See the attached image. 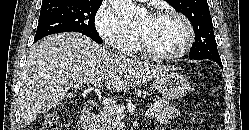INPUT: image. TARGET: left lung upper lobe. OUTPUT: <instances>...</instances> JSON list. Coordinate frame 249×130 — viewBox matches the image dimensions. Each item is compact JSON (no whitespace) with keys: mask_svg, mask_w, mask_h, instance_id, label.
<instances>
[{"mask_svg":"<svg viewBox=\"0 0 249 130\" xmlns=\"http://www.w3.org/2000/svg\"><path fill=\"white\" fill-rule=\"evenodd\" d=\"M177 11L192 23L195 43L190 49V58H220L213 32V24L207 0H167Z\"/></svg>","mask_w":249,"mask_h":130,"instance_id":"left-lung-upper-lobe-1","label":"left lung upper lobe"}]
</instances>
